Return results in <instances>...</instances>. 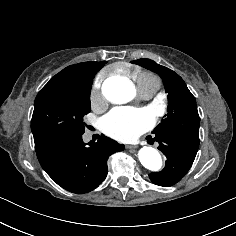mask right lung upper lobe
I'll return each mask as SVG.
<instances>
[{
	"label": "right lung upper lobe",
	"instance_id": "obj_1",
	"mask_svg": "<svg viewBox=\"0 0 236 236\" xmlns=\"http://www.w3.org/2000/svg\"><path fill=\"white\" fill-rule=\"evenodd\" d=\"M107 61L83 62L71 65L60 71L46 84L56 86H74L91 84L96 72L101 69Z\"/></svg>",
	"mask_w": 236,
	"mask_h": 236
}]
</instances>
